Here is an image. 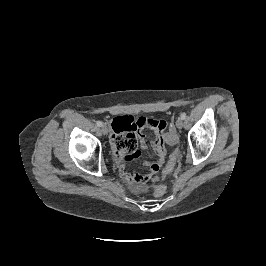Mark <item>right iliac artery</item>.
<instances>
[{
	"label": "right iliac artery",
	"instance_id": "82829eb1",
	"mask_svg": "<svg viewBox=\"0 0 266 266\" xmlns=\"http://www.w3.org/2000/svg\"><path fill=\"white\" fill-rule=\"evenodd\" d=\"M96 124H97V126H99V127L102 126V122H101V121H97Z\"/></svg>",
	"mask_w": 266,
	"mask_h": 266
}]
</instances>
